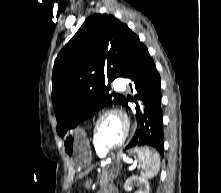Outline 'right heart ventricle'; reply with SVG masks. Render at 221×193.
<instances>
[{
	"label": "right heart ventricle",
	"instance_id": "right-heart-ventricle-1",
	"mask_svg": "<svg viewBox=\"0 0 221 193\" xmlns=\"http://www.w3.org/2000/svg\"><path fill=\"white\" fill-rule=\"evenodd\" d=\"M94 150H95V152H96V154H97L98 156H104V155H105V152L102 151L100 148H98V147L95 146V145H94Z\"/></svg>",
	"mask_w": 221,
	"mask_h": 193
}]
</instances>
